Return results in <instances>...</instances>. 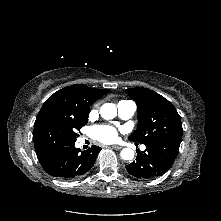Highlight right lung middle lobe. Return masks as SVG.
<instances>
[{
  "mask_svg": "<svg viewBox=\"0 0 221 221\" xmlns=\"http://www.w3.org/2000/svg\"><path fill=\"white\" fill-rule=\"evenodd\" d=\"M88 122V115L72 114L61 106H42L34 124L36 154L75 143L77 131Z\"/></svg>",
  "mask_w": 221,
  "mask_h": 221,
  "instance_id": "right-lung-middle-lobe-1",
  "label": "right lung middle lobe"
}]
</instances>
